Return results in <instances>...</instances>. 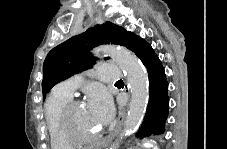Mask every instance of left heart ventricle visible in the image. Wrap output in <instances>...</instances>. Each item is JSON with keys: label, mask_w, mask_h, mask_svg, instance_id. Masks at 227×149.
Returning a JSON list of instances; mask_svg holds the SVG:
<instances>
[{"label": "left heart ventricle", "mask_w": 227, "mask_h": 149, "mask_svg": "<svg viewBox=\"0 0 227 149\" xmlns=\"http://www.w3.org/2000/svg\"><path fill=\"white\" fill-rule=\"evenodd\" d=\"M98 120L92 109L79 106L72 116V128L80 135L91 136L99 130Z\"/></svg>", "instance_id": "left-heart-ventricle-1"}]
</instances>
